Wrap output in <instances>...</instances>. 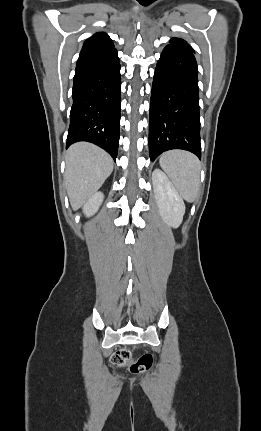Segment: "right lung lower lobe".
I'll use <instances>...</instances> for the list:
<instances>
[{"mask_svg": "<svg viewBox=\"0 0 261 431\" xmlns=\"http://www.w3.org/2000/svg\"><path fill=\"white\" fill-rule=\"evenodd\" d=\"M67 145L87 141L116 161L119 144L121 75L117 50L82 51L73 80Z\"/></svg>", "mask_w": 261, "mask_h": 431, "instance_id": "obj_1", "label": "right lung lower lobe"}]
</instances>
